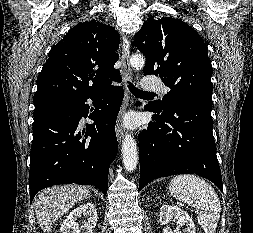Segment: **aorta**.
I'll use <instances>...</instances> for the list:
<instances>
[{
    "label": "aorta",
    "mask_w": 253,
    "mask_h": 233,
    "mask_svg": "<svg viewBox=\"0 0 253 233\" xmlns=\"http://www.w3.org/2000/svg\"><path fill=\"white\" fill-rule=\"evenodd\" d=\"M130 64L133 68H142L145 59L141 54H134L130 57ZM123 164L127 171H134L138 164V151L136 141L130 134H126L122 143Z\"/></svg>",
    "instance_id": "762f6f07"
}]
</instances>
